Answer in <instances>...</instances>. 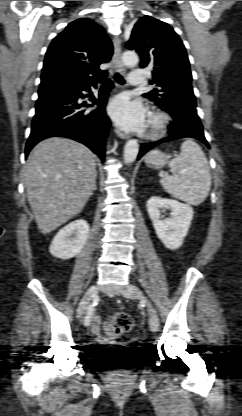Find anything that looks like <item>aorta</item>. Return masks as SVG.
I'll return each mask as SVG.
<instances>
[{
	"mask_svg": "<svg viewBox=\"0 0 242 416\" xmlns=\"http://www.w3.org/2000/svg\"><path fill=\"white\" fill-rule=\"evenodd\" d=\"M122 61L127 67H134L137 65L139 59L138 55L134 51H126L122 55ZM139 152V144L137 140L132 139L127 141L124 146V160L125 163L131 164L137 158Z\"/></svg>",
	"mask_w": 242,
	"mask_h": 416,
	"instance_id": "aorta-1",
	"label": "aorta"
}]
</instances>
